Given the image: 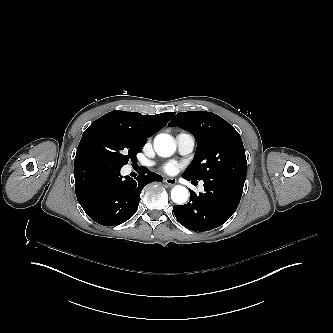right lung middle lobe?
I'll return each instance as SVG.
<instances>
[{
  "label": "right lung middle lobe",
  "mask_w": 333,
  "mask_h": 333,
  "mask_svg": "<svg viewBox=\"0 0 333 333\" xmlns=\"http://www.w3.org/2000/svg\"><path fill=\"white\" fill-rule=\"evenodd\" d=\"M145 144L109 125H96L85 130L76 155L96 156L111 166L122 168L136 159Z\"/></svg>",
  "instance_id": "dd1d6c3e"
}]
</instances>
